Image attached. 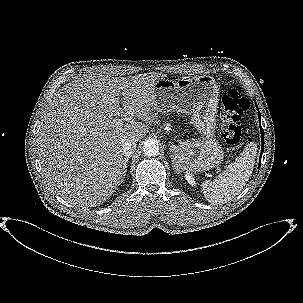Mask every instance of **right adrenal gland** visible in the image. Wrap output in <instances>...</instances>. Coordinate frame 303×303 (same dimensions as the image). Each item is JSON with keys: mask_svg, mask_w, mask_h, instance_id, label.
Returning <instances> with one entry per match:
<instances>
[{"mask_svg": "<svg viewBox=\"0 0 303 303\" xmlns=\"http://www.w3.org/2000/svg\"><path fill=\"white\" fill-rule=\"evenodd\" d=\"M131 156H128L124 159V162H123V172H122V178H121V182H123L125 176H126V172H127V163H128V160L130 159Z\"/></svg>", "mask_w": 303, "mask_h": 303, "instance_id": "2a0ac1e0", "label": "right adrenal gland"}]
</instances>
